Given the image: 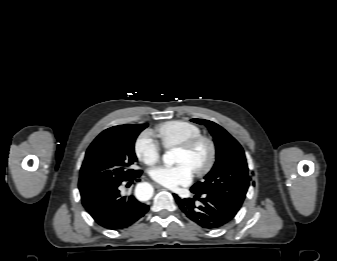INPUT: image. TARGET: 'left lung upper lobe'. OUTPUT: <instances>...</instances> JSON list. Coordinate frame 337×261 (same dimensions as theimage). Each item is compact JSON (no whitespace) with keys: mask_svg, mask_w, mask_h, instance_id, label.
<instances>
[{"mask_svg":"<svg viewBox=\"0 0 337 261\" xmlns=\"http://www.w3.org/2000/svg\"><path fill=\"white\" fill-rule=\"evenodd\" d=\"M191 121L204 124L213 136L216 162L212 170L191 187L193 192L216 196L239 210L249 187L248 166L241 145L221 126L204 119Z\"/></svg>","mask_w":337,"mask_h":261,"instance_id":"5c2ea615","label":"left lung upper lobe"}]
</instances>
